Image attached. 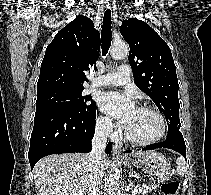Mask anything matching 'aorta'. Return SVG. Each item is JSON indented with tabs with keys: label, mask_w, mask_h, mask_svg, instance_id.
<instances>
[{
	"label": "aorta",
	"mask_w": 211,
	"mask_h": 195,
	"mask_svg": "<svg viewBox=\"0 0 211 195\" xmlns=\"http://www.w3.org/2000/svg\"><path fill=\"white\" fill-rule=\"evenodd\" d=\"M110 53L113 59H123L129 54V46L124 42L114 43ZM119 192V172L116 166H112L108 178V195H119Z\"/></svg>",
	"instance_id": "obj_1"
}]
</instances>
